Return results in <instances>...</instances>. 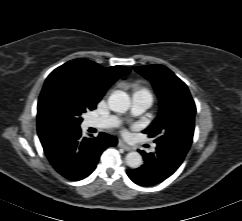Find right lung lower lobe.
I'll use <instances>...</instances> for the list:
<instances>
[{"instance_id":"98d812e1","label":"right lung lower lobe","mask_w":242,"mask_h":221,"mask_svg":"<svg viewBox=\"0 0 242 221\" xmlns=\"http://www.w3.org/2000/svg\"><path fill=\"white\" fill-rule=\"evenodd\" d=\"M41 143L56 171L69 180L78 181L93 172L101 153L115 146L117 139L103 132L96 138H83L78 128L57 131Z\"/></svg>"}]
</instances>
